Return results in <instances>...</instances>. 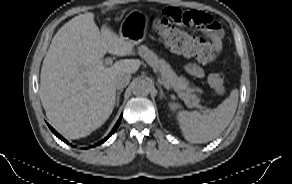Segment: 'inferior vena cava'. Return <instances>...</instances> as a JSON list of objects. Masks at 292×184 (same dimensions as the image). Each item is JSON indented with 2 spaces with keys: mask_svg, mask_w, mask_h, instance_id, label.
<instances>
[{
  "mask_svg": "<svg viewBox=\"0 0 292 184\" xmlns=\"http://www.w3.org/2000/svg\"><path fill=\"white\" fill-rule=\"evenodd\" d=\"M131 79L130 74L122 73L115 78L114 84L117 89L125 88Z\"/></svg>",
  "mask_w": 292,
  "mask_h": 184,
  "instance_id": "obj_1",
  "label": "inferior vena cava"
}]
</instances>
